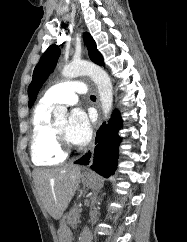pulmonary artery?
Wrapping results in <instances>:
<instances>
[{
    "mask_svg": "<svg viewBox=\"0 0 187 242\" xmlns=\"http://www.w3.org/2000/svg\"><path fill=\"white\" fill-rule=\"evenodd\" d=\"M87 92L86 85L77 80L64 81L51 86L43 95L41 101L48 105H73L78 100V94Z\"/></svg>",
    "mask_w": 187,
    "mask_h": 242,
    "instance_id": "obj_1",
    "label": "pulmonary artery"
}]
</instances>
